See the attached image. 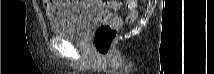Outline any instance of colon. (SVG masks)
I'll return each instance as SVG.
<instances>
[{
  "instance_id": "obj_1",
  "label": "colon",
  "mask_w": 214,
  "mask_h": 74,
  "mask_svg": "<svg viewBox=\"0 0 214 74\" xmlns=\"http://www.w3.org/2000/svg\"><path fill=\"white\" fill-rule=\"evenodd\" d=\"M107 7L112 10H118L121 7L120 1L105 2ZM129 12L125 19L115 18L112 21L101 24L95 31L93 36V44L97 52L101 56H108L111 52V46L117 34V30L122 27L124 22H133L138 16V3L137 0L126 1Z\"/></svg>"
}]
</instances>
